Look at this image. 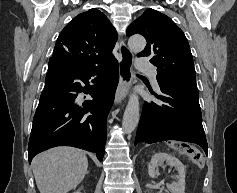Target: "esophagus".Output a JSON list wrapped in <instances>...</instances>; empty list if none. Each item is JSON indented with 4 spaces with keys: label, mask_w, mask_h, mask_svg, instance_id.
Masks as SVG:
<instances>
[{
    "label": "esophagus",
    "mask_w": 237,
    "mask_h": 193,
    "mask_svg": "<svg viewBox=\"0 0 237 193\" xmlns=\"http://www.w3.org/2000/svg\"><path fill=\"white\" fill-rule=\"evenodd\" d=\"M119 52L121 59L119 61V83L115 93V104H118L121 98L125 97L133 78V53L127 47L124 39L120 41Z\"/></svg>",
    "instance_id": "esophagus-1"
}]
</instances>
